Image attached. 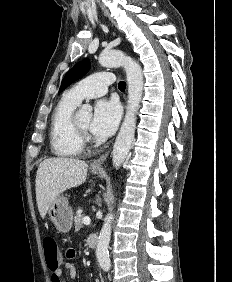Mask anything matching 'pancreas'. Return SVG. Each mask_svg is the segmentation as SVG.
<instances>
[{
	"mask_svg": "<svg viewBox=\"0 0 232 282\" xmlns=\"http://www.w3.org/2000/svg\"><path fill=\"white\" fill-rule=\"evenodd\" d=\"M83 214H76L74 217V222H75V230L78 231L83 227Z\"/></svg>",
	"mask_w": 232,
	"mask_h": 282,
	"instance_id": "1",
	"label": "pancreas"
}]
</instances>
